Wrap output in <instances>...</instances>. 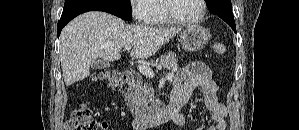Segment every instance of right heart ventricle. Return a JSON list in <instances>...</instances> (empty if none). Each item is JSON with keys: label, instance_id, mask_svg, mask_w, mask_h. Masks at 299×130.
Returning <instances> with one entry per match:
<instances>
[{"label": "right heart ventricle", "instance_id": "1", "mask_svg": "<svg viewBox=\"0 0 299 130\" xmlns=\"http://www.w3.org/2000/svg\"><path fill=\"white\" fill-rule=\"evenodd\" d=\"M168 22L164 13L163 0L151 1L149 4V19L147 23L153 26H163Z\"/></svg>", "mask_w": 299, "mask_h": 130}]
</instances>
